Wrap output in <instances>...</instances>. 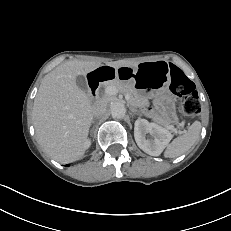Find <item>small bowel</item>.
<instances>
[{
    "label": "small bowel",
    "mask_w": 231,
    "mask_h": 231,
    "mask_svg": "<svg viewBox=\"0 0 231 231\" xmlns=\"http://www.w3.org/2000/svg\"><path fill=\"white\" fill-rule=\"evenodd\" d=\"M125 70H127V71H130V70H132V69H129V68H125Z\"/></svg>",
    "instance_id": "small-bowel-1"
}]
</instances>
